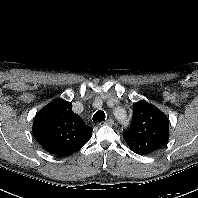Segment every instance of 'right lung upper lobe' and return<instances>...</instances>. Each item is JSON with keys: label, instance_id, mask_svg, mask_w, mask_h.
I'll use <instances>...</instances> for the list:
<instances>
[{"label": "right lung upper lobe", "instance_id": "obj_1", "mask_svg": "<svg viewBox=\"0 0 198 198\" xmlns=\"http://www.w3.org/2000/svg\"><path fill=\"white\" fill-rule=\"evenodd\" d=\"M32 131L43 149L64 157L82 148L93 129L72 111L71 102L57 99L36 114Z\"/></svg>", "mask_w": 198, "mask_h": 198}]
</instances>
